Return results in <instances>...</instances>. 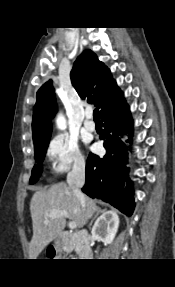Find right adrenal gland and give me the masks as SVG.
Returning <instances> with one entry per match:
<instances>
[{
	"instance_id": "1",
	"label": "right adrenal gland",
	"mask_w": 175,
	"mask_h": 287,
	"mask_svg": "<svg viewBox=\"0 0 175 287\" xmlns=\"http://www.w3.org/2000/svg\"><path fill=\"white\" fill-rule=\"evenodd\" d=\"M104 211H105V210H101V209H99V210H98V212H97V214L95 215V217L91 220V222H90L89 226H90V225H92L93 220L96 218V216H97L99 213H102V212H104Z\"/></svg>"
}]
</instances>
